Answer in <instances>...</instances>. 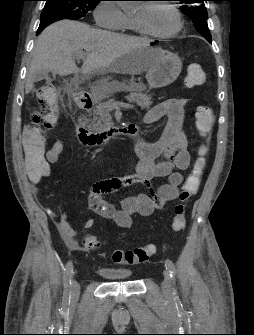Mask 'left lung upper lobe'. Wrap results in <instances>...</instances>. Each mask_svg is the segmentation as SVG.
<instances>
[{
    "instance_id": "1",
    "label": "left lung upper lobe",
    "mask_w": 254,
    "mask_h": 335,
    "mask_svg": "<svg viewBox=\"0 0 254 335\" xmlns=\"http://www.w3.org/2000/svg\"><path fill=\"white\" fill-rule=\"evenodd\" d=\"M180 1L181 11L188 16L195 25L198 32L203 35L207 41L211 40V34L208 29L207 11L203 1L205 0H177Z\"/></svg>"
}]
</instances>
